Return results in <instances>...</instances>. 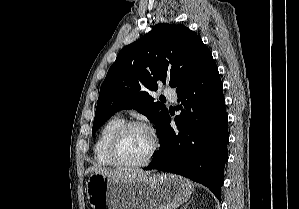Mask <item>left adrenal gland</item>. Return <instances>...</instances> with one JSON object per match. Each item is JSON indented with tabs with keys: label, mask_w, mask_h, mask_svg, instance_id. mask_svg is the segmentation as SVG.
Returning <instances> with one entry per match:
<instances>
[{
	"label": "left adrenal gland",
	"mask_w": 299,
	"mask_h": 209,
	"mask_svg": "<svg viewBox=\"0 0 299 209\" xmlns=\"http://www.w3.org/2000/svg\"><path fill=\"white\" fill-rule=\"evenodd\" d=\"M187 205H185L184 209H186Z\"/></svg>",
	"instance_id": "left-adrenal-gland-1"
}]
</instances>
